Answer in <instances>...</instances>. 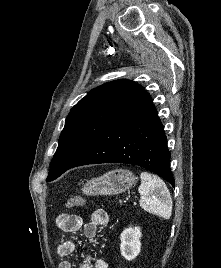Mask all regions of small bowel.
<instances>
[{
    "label": "small bowel",
    "mask_w": 221,
    "mask_h": 268,
    "mask_svg": "<svg viewBox=\"0 0 221 268\" xmlns=\"http://www.w3.org/2000/svg\"><path fill=\"white\" fill-rule=\"evenodd\" d=\"M109 216L105 210H95L88 222H85L81 216L74 214H63L57 219V226L65 232H76L81 229L89 238L97 236L98 229L108 224ZM75 250V243L72 240H66L61 242L57 246V254L60 257H68ZM59 268H72L71 263L68 260H64L60 263ZM82 268H109V263L106 259H97L93 264L87 259Z\"/></svg>",
    "instance_id": "c3829d8e"
}]
</instances>
